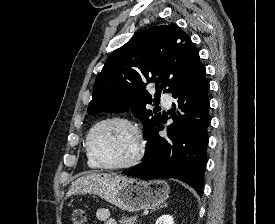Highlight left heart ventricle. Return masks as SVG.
I'll use <instances>...</instances> for the list:
<instances>
[{
	"label": "left heart ventricle",
	"instance_id": "1",
	"mask_svg": "<svg viewBox=\"0 0 275 224\" xmlns=\"http://www.w3.org/2000/svg\"><path fill=\"white\" fill-rule=\"evenodd\" d=\"M92 146L103 162L119 164L126 162L134 155L136 141L129 127L112 122L102 125L95 131Z\"/></svg>",
	"mask_w": 275,
	"mask_h": 224
}]
</instances>
